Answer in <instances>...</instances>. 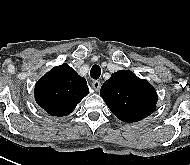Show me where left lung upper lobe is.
<instances>
[{"instance_id": "1", "label": "left lung upper lobe", "mask_w": 190, "mask_h": 165, "mask_svg": "<svg viewBox=\"0 0 190 165\" xmlns=\"http://www.w3.org/2000/svg\"><path fill=\"white\" fill-rule=\"evenodd\" d=\"M100 96L111 112L127 123L140 121L156 109V90L148 81L128 70L111 74L102 85Z\"/></svg>"}]
</instances>
